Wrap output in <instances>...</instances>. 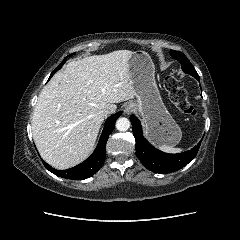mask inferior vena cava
<instances>
[{
  "instance_id": "1",
  "label": "inferior vena cava",
  "mask_w": 240,
  "mask_h": 240,
  "mask_svg": "<svg viewBox=\"0 0 240 240\" xmlns=\"http://www.w3.org/2000/svg\"><path fill=\"white\" fill-rule=\"evenodd\" d=\"M102 113H104V114H108L109 111H108L107 109H104V110H102Z\"/></svg>"
}]
</instances>
